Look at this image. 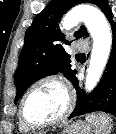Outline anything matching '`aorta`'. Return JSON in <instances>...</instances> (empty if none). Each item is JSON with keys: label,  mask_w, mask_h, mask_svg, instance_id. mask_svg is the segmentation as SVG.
Here are the masks:
<instances>
[{"label": "aorta", "mask_w": 116, "mask_h": 134, "mask_svg": "<svg viewBox=\"0 0 116 134\" xmlns=\"http://www.w3.org/2000/svg\"><path fill=\"white\" fill-rule=\"evenodd\" d=\"M83 21L93 38V49L86 74L85 88L91 91L99 82L109 58L112 36L104 14L90 5L73 8L64 18L63 26L68 29Z\"/></svg>", "instance_id": "obj_1"}]
</instances>
